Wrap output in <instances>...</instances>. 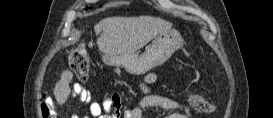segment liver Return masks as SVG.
I'll list each match as a JSON object with an SVG mask.
<instances>
[{
	"label": "liver",
	"instance_id": "obj_1",
	"mask_svg": "<svg viewBox=\"0 0 273 118\" xmlns=\"http://www.w3.org/2000/svg\"><path fill=\"white\" fill-rule=\"evenodd\" d=\"M172 27V23L152 16L139 17H107L95 25V32H102L97 39L101 52L116 55L133 53L147 45L164 30ZM73 77L70 71H64L54 88L58 104H64L70 94L69 83Z\"/></svg>",
	"mask_w": 273,
	"mask_h": 118
}]
</instances>
